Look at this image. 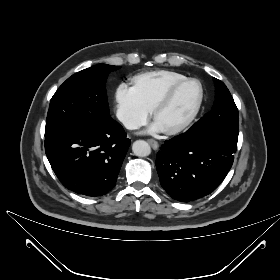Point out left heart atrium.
<instances>
[{"label": "left heart atrium", "mask_w": 280, "mask_h": 280, "mask_svg": "<svg viewBox=\"0 0 280 280\" xmlns=\"http://www.w3.org/2000/svg\"><path fill=\"white\" fill-rule=\"evenodd\" d=\"M160 131H162V129L159 127V125L156 122H154L151 125L150 129L148 130V132H160Z\"/></svg>", "instance_id": "obj_1"}]
</instances>
